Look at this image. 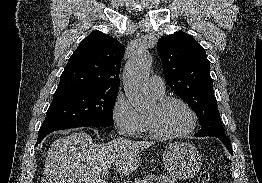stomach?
<instances>
[{"instance_id":"0dacf381","label":"stomach","mask_w":262,"mask_h":183,"mask_svg":"<svg viewBox=\"0 0 262 183\" xmlns=\"http://www.w3.org/2000/svg\"><path fill=\"white\" fill-rule=\"evenodd\" d=\"M165 168L175 179H190L200 170L202 156L191 144L174 142L169 144L163 153Z\"/></svg>"}]
</instances>
